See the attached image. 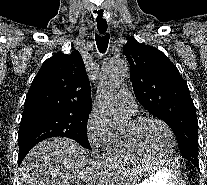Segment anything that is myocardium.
I'll return each mask as SVG.
<instances>
[{
	"mask_svg": "<svg viewBox=\"0 0 207 185\" xmlns=\"http://www.w3.org/2000/svg\"><path fill=\"white\" fill-rule=\"evenodd\" d=\"M148 121H156L160 123L169 133L171 138V149L169 153L165 157H154L150 153H148L145 148L142 146V144L139 142L137 137V132L139 128ZM126 139L130 147L141 154L142 156L146 157L148 160L154 161V162H166L169 161L175 154L176 147H177V140L176 135L171 128V126L162 118H159L157 116L148 115V116H141L136 119H134L130 123V127L124 131Z\"/></svg>",
	"mask_w": 207,
	"mask_h": 185,
	"instance_id": "f54148a6",
	"label": "myocardium"
}]
</instances>
